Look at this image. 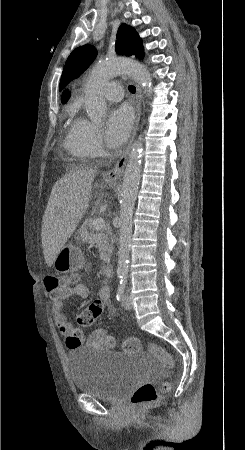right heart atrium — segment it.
I'll return each instance as SVG.
<instances>
[{"label":"right heart atrium","mask_w":245,"mask_h":450,"mask_svg":"<svg viewBox=\"0 0 245 450\" xmlns=\"http://www.w3.org/2000/svg\"><path fill=\"white\" fill-rule=\"evenodd\" d=\"M81 145L85 155L97 156L104 150L103 137L100 130L90 121L82 119L80 122Z\"/></svg>","instance_id":"d8ad5b80"}]
</instances>
